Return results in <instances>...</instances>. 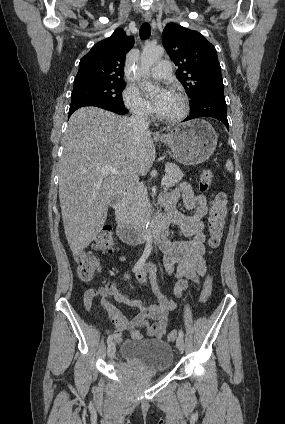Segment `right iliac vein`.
I'll list each match as a JSON object with an SVG mask.
<instances>
[{
    "label": "right iliac vein",
    "mask_w": 285,
    "mask_h": 424,
    "mask_svg": "<svg viewBox=\"0 0 285 424\" xmlns=\"http://www.w3.org/2000/svg\"><path fill=\"white\" fill-rule=\"evenodd\" d=\"M115 351H116L115 343H114V342H111V343L109 344V346H108V349H107V355H108V357H109V358L114 357V355H115Z\"/></svg>",
    "instance_id": "right-iliac-vein-1"
}]
</instances>
